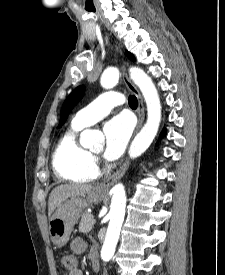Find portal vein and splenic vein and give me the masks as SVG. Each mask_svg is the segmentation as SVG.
<instances>
[{
    "label": "portal vein and splenic vein",
    "instance_id": "portal-vein-and-splenic-vein-1",
    "mask_svg": "<svg viewBox=\"0 0 225 275\" xmlns=\"http://www.w3.org/2000/svg\"><path fill=\"white\" fill-rule=\"evenodd\" d=\"M95 222H96V220H95V219H93V220H92V223L94 224Z\"/></svg>",
    "mask_w": 225,
    "mask_h": 275
}]
</instances>
